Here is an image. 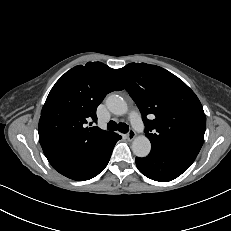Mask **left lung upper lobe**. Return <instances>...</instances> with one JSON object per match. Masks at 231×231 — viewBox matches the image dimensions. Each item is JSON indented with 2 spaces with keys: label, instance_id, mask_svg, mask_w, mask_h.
<instances>
[{
  "label": "left lung upper lobe",
  "instance_id": "5c2ea615",
  "mask_svg": "<svg viewBox=\"0 0 231 231\" xmlns=\"http://www.w3.org/2000/svg\"><path fill=\"white\" fill-rule=\"evenodd\" d=\"M117 75L142 114L152 147L198 155L206 116L195 93L181 79L146 63H130L117 69Z\"/></svg>",
  "mask_w": 231,
  "mask_h": 231
}]
</instances>
